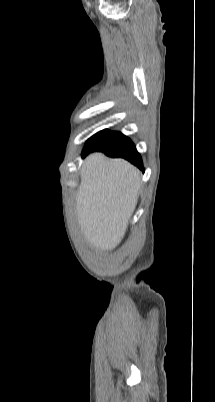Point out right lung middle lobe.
<instances>
[{
  "label": "right lung middle lobe",
  "mask_w": 215,
  "mask_h": 402,
  "mask_svg": "<svg viewBox=\"0 0 215 402\" xmlns=\"http://www.w3.org/2000/svg\"><path fill=\"white\" fill-rule=\"evenodd\" d=\"M124 135L120 132L102 130L88 139L86 145H112L120 141Z\"/></svg>",
  "instance_id": "right-lung-middle-lobe-1"
}]
</instances>
